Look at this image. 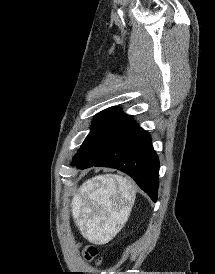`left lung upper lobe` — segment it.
<instances>
[{"instance_id": "5c2ea615", "label": "left lung upper lobe", "mask_w": 215, "mask_h": 274, "mask_svg": "<svg viewBox=\"0 0 215 274\" xmlns=\"http://www.w3.org/2000/svg\"><path fill=\"white\" fill-rule=\"evenodd\" d=\"M119 108L111 107L96 115L92 122L90 133L84 140L82 146L73 158V162H78L90 154L99 144H101L119 126L131 119Z\"/></svg>"}]
</instances>
